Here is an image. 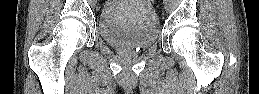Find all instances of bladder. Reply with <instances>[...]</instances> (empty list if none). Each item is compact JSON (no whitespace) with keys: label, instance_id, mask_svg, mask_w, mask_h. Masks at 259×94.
Instances as JSON below:
<instances>
[{"label":"bladder","instance_id":"bladder-1","mask_svg":"<svg viewBox=\"0 0 259 94\" xmlns=\"http://www.w3.org/2000/svg\"><path fill=\"white\" fill-rule=\"evenodd\" d=\"M98 31L112 45L147 48L157 40L159 27L148 1H109L100 14Z\"/></svg>","mask_w":259,"mask_h":94}]
</instances>
